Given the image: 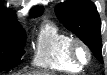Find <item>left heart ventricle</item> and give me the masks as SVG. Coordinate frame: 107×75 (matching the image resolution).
<instances>
[{"label":"left heart ventricle","instance_id":"1","mask_svg":"<svg viewBox=\"0 0 107 75\" xmlns=\"http://www.w3.org/2000/svg\"><path fill=\"white\" fill-rule=\"evenodd\" d=\"M79 55H80V57H81L82 59L85 58V53H84V51L80 50V51H79Z\"/></svg>","mask_w":107,"mask_h":75}]
</instances>
